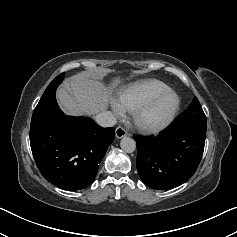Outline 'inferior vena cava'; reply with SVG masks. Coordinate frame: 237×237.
<instances>
[{"mask_svg":"<svg viewBox=\"0 0 237 237\" xmlns=\"http://www.w3.org/2000/svg\"><path fill=\"white\" fill-rule=\"evenodd\" d=\"M95 121L101 127H112L117 123L116 117L110 111H103L95 116Z\"/></svg>","mask_w":237,"mask_h":237,"instance_id":"1","label":"inferior vena cava"}]
</instances>
